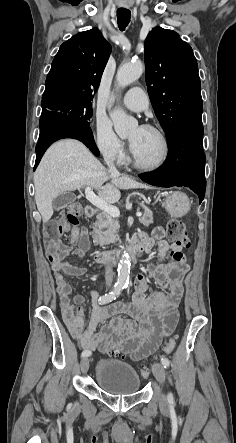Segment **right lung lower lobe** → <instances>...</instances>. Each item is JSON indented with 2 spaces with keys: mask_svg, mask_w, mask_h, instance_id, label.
<instances>
[{
  "mask_svg": "<svg viewBox=\"0 0 236 443\" xmlns=\"http://www.w3.org/2000/svg\"><path fill=\"white\" fill-rule=\"evenodd\" d=\"M40 135L36 145L35 168L39 164L46 149L55 141L63 138H73L83 142L96 156L99 150L96 147L91 128L83 126L64 113L48 110L42 112Z\"/></svg>",
  "mask_w": 236,
  "mask_h": 443,
  "instance_id": "1",
  "label": "right lung lower lobe"
}]
</instances>
